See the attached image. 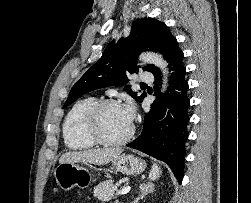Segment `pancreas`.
<instances>
[{
  "label": "pancreas",
  "mask_w": 251,
  "mask_h": 203,
  "mask_svg": "<svg viewBox=\"0 0 251 203\" xmlns=\"http://www.w3.org/2000/svg\"><path fill=\"white\" fill-rule=\"evenodd\" d=\"M116 185L113 184V180H106L103 182H100L95 188H94V196L98 198L101 201H108L114 195L119 193V191L116 189Z\"/></svg>",
  "instance_id": "cf45deb5"
}]
</instances>
